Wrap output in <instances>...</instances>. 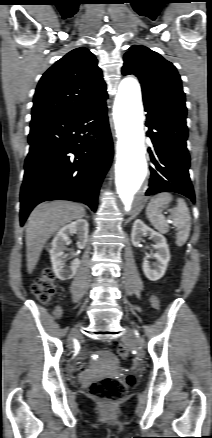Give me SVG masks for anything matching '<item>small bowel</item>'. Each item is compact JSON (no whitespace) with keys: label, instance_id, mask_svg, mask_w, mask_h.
Segmentation results:
<instances>
[{"label":"small bowel","instance_id":"1","mask_svg":"<svg viewBox=\"0 0 212 438\" xmlns=\"http://www.w3.org/2000/svg\"><path fill=\"white\" fill-rule=\"evenodd\" d=\"M152 304L155 308H159L160 307V300L158 298H153ZM54 314L56 316H59L61 314V310L59 308H56Z\"/></svg>","mask_w":212,"mask_h":438}]
</instances>
